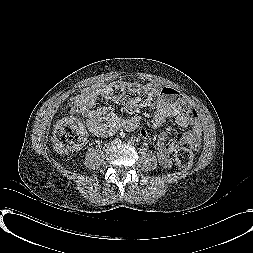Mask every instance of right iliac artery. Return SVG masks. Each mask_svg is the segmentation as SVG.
<instances>
[{
	"label": "right iliac artery",
	"mask_w": 253,
	"mask_h": 253,
	"mask_svg": "<svg viewBox=\"0 0 253 253\" xmlns=\"http://www.w3.org/2000/svg\"><path fill=\"white\" fill-rule=\"evenodd\" d=\"M119 141H120V140H119L118 138L115 140L116 143H118Z\"/></svg>",
	"instance_id": "1"
}]
</instances>
